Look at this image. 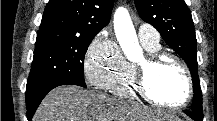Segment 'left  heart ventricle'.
Segmentation results:
<instances>
[{
	"label": "left heart ventricle",
	"instance_id": "b2bd125f",
	"mask_svg": "<svg viewBox=\"0 0 217 121\" xmlns=\"http://www.w3.org/2000/svg\"><path fill=\"white\" fill-rule=\"evenodd\" d=\"M148 84L151 93L166 104L180 103L187 92L183 72L170 60L150 70Z\"/></svg>",
	"mask_w": 217,
	"mask_h": 121
}]
</instances>
